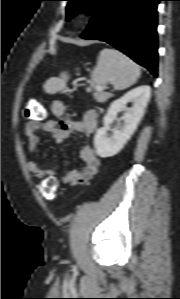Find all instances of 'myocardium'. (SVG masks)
Here are the masks:
<instances>
[{
    "label": "myocardium",
    "mask_w": 180,
    "mask_h": 299,
    "mask_svg": "<svg viewBox=\"0 0 180 299\" xmlns=\"http://www.w3.org/2000/svg\"><path fill=\"white\" fill-rule=\"evenodd\" d=\"M86 17H87V11L85 9H81L77 11L76 14L74 15L73 21L75 23H81L86 19Z\"/></svg>",
    "instance_id": "obj_1"
}]
</instances>
